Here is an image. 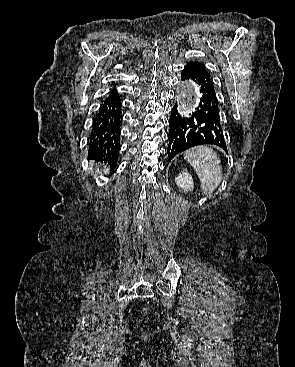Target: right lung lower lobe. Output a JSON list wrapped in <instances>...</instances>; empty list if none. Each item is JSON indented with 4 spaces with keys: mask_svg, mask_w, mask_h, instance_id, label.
Returning a JSON list of instances; mask_svg holds the SVG:
<instances>
[{
    "mask_svg": "<svg viewBox=\"0 0 295 367\" xmlns=\"http://www.w3.org/2000/svg\"><path fill=\"white\" fill-rule=\"evenodd\" d=\"M121 100L113 89L104 100L93 122L89 139V158L98 161H117L120 150ZM115 165L112 166V169Z\"/></svg>",
    "mask_w": 295,
    "mask_h": 367,
    "instance_id": "obj_1",
    "label": "right lung lower lobe"
}]
</instances>
